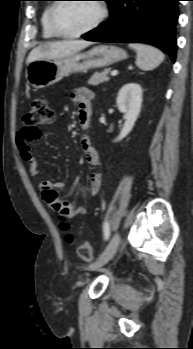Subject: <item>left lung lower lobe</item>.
I'll use <instances>...</instances> for the list:
<instances>
[{
    "label": "left lung lower lobe",
    "instance_id": "left-lung-lower-lobe-1",
    "mask_svg": "<svg viewBox=\"0 0 193 349\" xmlns=\"http://www.w3.org/2000/svg\"><path fill=\"white\" fill-rule=\"evenodd\" d=\"M179 0H109L110 18L91 33L88 41L141 42L176 58L175 30Z\"/></svg>",
    "mask_w": 193,
    "mask_h": 349
}]
</instances>
